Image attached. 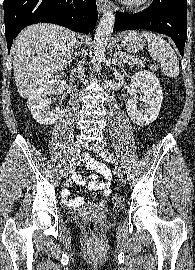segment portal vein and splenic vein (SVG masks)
<instances>
[{
	"label": "portal vein and splenic vein",
	"instance_id": "obj_1",
	"mask_svg": "<svg viewBox=\"0 0 195 270\" xmlns=\"http://www.w3.org/2000/svg\"><path fill=\"white\" fill-rule=\"evenodd\" d=\"M117 54L119 55L120 58H122L124 56V54L122 52H118Z\"/></svg>",
	"mask_w": 195,
	"mask_h": 270
}]
</instances>
